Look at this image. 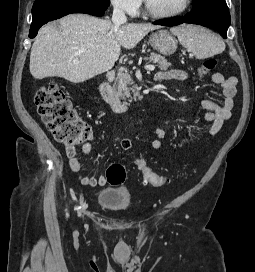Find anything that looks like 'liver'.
Listing matches in <instances>:
<instances>
[{
	"label": "liver",
	"instance_id": "6515ba94",
	"mask_svg": "<svg viewBox=\"0 0 255 272\" xmlns=\"http://www.w3.org/2000/svg\"><path fill=\"white\" fill-rule=\"evenodd\" d=\"M158 25L128 23L119 27L109 19L70 14L59 27H42L31 48L30 73L35 79L61 77L81 83L109 71L118 60L121 46L134 48Z\"/></svg>",
	"mask_w": 255,
	"mask_h": 272
}]
</instances>
